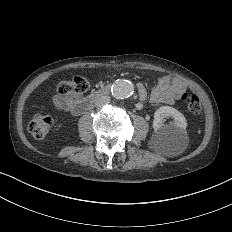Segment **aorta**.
<instances>
[{"label": "aorta", "instance_id": "1", "mask_svg": "<svg viewBox=\"0 0 232 232\" xmlns=\"http://www.w3.org/2000/svg\"><path fill=\"white\" fill-rule=\"evenodd\" d=\"M133 91L134 87L128 80H116L112 86V95L117 99L130 97Z\"/></svg>", "mask_w": 232, "mask_h": 232}]
</instances>
